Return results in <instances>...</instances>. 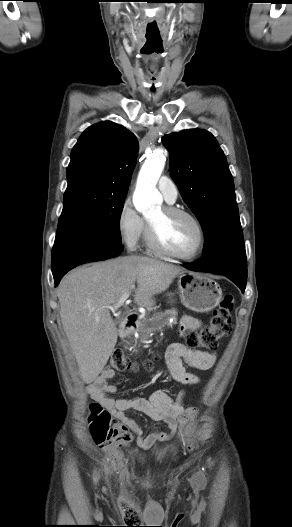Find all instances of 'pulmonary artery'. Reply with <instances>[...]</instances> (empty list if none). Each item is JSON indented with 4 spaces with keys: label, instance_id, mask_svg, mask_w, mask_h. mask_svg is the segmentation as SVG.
I'll return each instance as SVG.
<instances>
[{
    "label": "pulmonary artery",
    "instance_id": "e3ab8cb5",
    "mask_svg": "<svg viewBox=\"0 0 292 527\" xmlns=\"http://www.w3.org/2000/svg\"><path fill=\"white\" fill-rule=\"evenodd\" d=\"M158 188L168 203H174L178 196L175 183L167 176H162L158 181Z\"/></svg>",
    "mask_w": 292,
    "mask_h": 527
}]
</instances>
